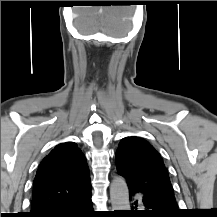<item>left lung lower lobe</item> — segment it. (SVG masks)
Returning a JSON list of instances; mask_svg holds the SVG:
<instances>
[{
	"label": "left lung lower lobe",
	"mask_w": 217,
	"mask_h": 217,
	"mask_svg": "<svg viewBox=\"0 0 217 217\" xmlns=\"http://www.w3.org/2000/svg\"><path fill=\"white\" fill-rule=\"evenodd\" d=\"M129 197L140 193L136 190L129 189ZM142 202L146 210L132 211L128 214L130 216H147V217H177L179 212L176 207H173L168 201L163 198L153 195L142 194ZM137 202H135L136 204Z\"/></svg>",
	"instance_id": "0a47b994"
}]
</instances>
